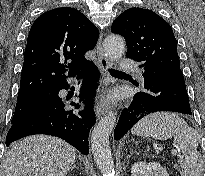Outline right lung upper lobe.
Instances as JSON below:
<instances>
[{"label": "right lung upper lobe", "mask_w": 205, "mask_h": 176, "mask_svg": "<svg viewBox=\"0 0 205 176\" xmlns=\"http://www.w3.org/2000/svg\"><path fill=\"white\" fill-rule=\"evenodd\" d=\"M98 36L95 25L74 8L42 14L28 35L17 99L54 90L65 82L66 73L73 77L82 71L91 62L84 54Z\"/></svg>", "instance_id": "right-lung-upper-lobe-1"}]
</instances>
